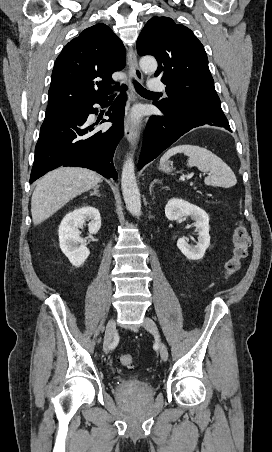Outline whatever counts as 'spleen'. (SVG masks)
Segmentation results:
<instances>
[{"instance_id": "obj_1", "label": "spleen", "mask_w": 272, "mask_h": 452, "mask_svg": "<svg viewBox=\"0 0 272 452\" xmlns=\"http://www.w3.org/2000/svg\"><path fill=\"white\" fill-rule=\"evenodd\" d=\"M177 153L188 156V166H196L200 171L210 172L204 180L205 184L224 188L236 185L237 179L231 168L217 155L200 146L183 144L172 147L164 153L160 163H164Z\"/></svg>"}]
</instances>
